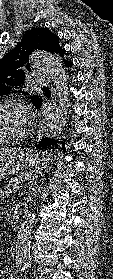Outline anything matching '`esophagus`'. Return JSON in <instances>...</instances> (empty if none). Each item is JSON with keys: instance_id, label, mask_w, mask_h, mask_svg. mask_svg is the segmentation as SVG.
Here are the masks:
<instances>
[{"instance_id": "obj_1", "label": "esophagus", "mask_w": 113, "mask_h": 279, "mask_svg": "<svg viewBox=\"0 0 113 279\" xmlns=\"http://www.w3.org/2000/svg\"><path fill=\"white\" fill-rule=\"evenodd\" d=\"M51 92L52 96L50 100V112H53L56 108V90L53 87H51ZM45 119H43V121L40 123V130L38 132L37 139H40L42 137V129L45 123Z\"/></svg>"}]
</instances>
